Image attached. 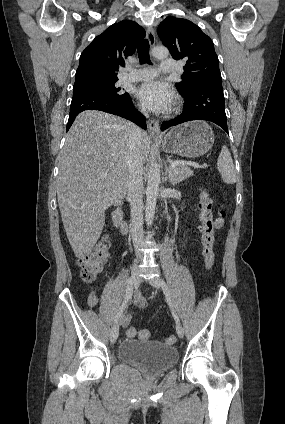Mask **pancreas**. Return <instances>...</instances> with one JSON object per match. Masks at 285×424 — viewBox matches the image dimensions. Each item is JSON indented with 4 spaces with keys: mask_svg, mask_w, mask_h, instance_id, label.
Listing matches in <instances>:
<instances>
[{
    "mask_svg": "<svg viewBox=\"0 0 285 424\" xmlns=\"http://www.w3.org/2000/svg\"><path fill=\"white\" fill-rule=\"evenodd\" d=\"M190 176H193V171L185 163H180L169 169V179L173 185L187 179Z\"/></svg>",
    "mask_w": 285,
    "mask_h": 424,
    "instance_id": "cf45deb5",
    "label": "pancreas"
}]
</instances>
